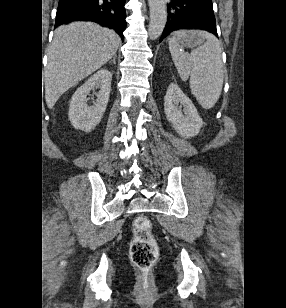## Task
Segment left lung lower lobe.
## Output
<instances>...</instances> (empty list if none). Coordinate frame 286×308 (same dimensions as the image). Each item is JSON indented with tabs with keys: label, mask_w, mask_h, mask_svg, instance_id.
<instances>
[{
	"label": "left lung lower lobe",
	"mask_w": 286,
	"mask_h": 308,
	"mask_svg": "<svg viewBox=\"0 0 286 308\" xmlns=\"http://www.w3.org/2000/svg\"><path fill=\"white\" fill-rule=\"evenodd\" d=\"M160 41L174 30L202 29L218 37L212 0H171Z\"/></svg>",
	"instance_id": "0a47b994"
}]
</instances>
